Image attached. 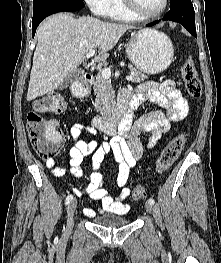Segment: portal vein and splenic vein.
Here are the masks:
<instances>
[{
    "label": "portal vein and splenic vein",
    "instance_id": "obj_1",
    "mask_svg": "<svg viewBox=\"0 0 221 263\" xmlns=\"http://www.w3.org/2000/svg\"><path fill=\"white\" fill-rule=\"evenodd\" d=\"M95 54V49H91L87 54H86V58L89 59L91 57H93ZM102 76L105 78V79H109L111 77V70L109 68H105L102 70L101 72ZM126 79L128 81H132L133 80V77L132 75L130 76H126Z\"/></svg>",
    "mask_w": 221,
    "mask_h": 263
}]
</instances>
